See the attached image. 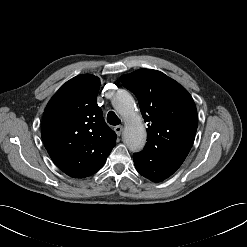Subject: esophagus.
Segmentation results:
<instances>
[{
    "mask_svg": "<svg viewBox=\"0 0 247 247\" xmlns=\"http://www.w3.org/2000/svg\"><path fill=\"white\" fill-rule=\"evenodd\" d=\"M114 131L116 132V134H117L118 136H120L121 133H122V131H123V126H121V125L116 126V127L114 128Z\"/></svg>",
    "mask_w": 247,
    "mask_h": 247,
    "instance_id": "esophagus-1",
    "label": "esophagus"
}]
</instances>
